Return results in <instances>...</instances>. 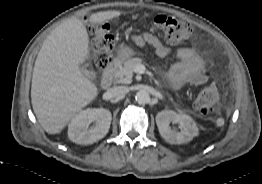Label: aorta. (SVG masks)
Returning <instances> with one entry per match:
<instances>
[{"label":"aorta","instance_id":"aorta-1","mask_svg":"<svg viewBox=\"0 0 262 184\" xmlns=\"http://www.w3.org/2000/svg\"><path fill=\"white\" fill-rule=\"evenodd\" d=\"M135 99L139 104H146L150 100V95L146 90H139L135 95Z\"/></svg>","mask_w":262,"mask_h":184}]
</instances>
